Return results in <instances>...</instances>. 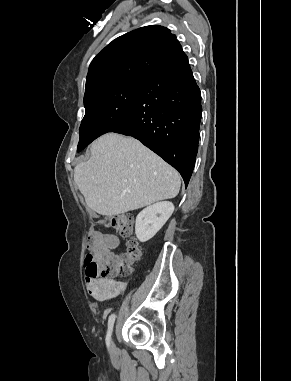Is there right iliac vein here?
<instances>
[{"label": "right iliac vein", "instance_id": "1", "mask_svg": "<svg viewBox=\"0 0 291 381\" xmlns=\"http://www.w3.org/2000/svg\"><path fill=\"white\" fill-rule=\"evenodd\" d=\"M110 346L113 347V341L110 339Z\"/></svg>", "mask_w": 291, "mask_h": 381}]
</instances>
